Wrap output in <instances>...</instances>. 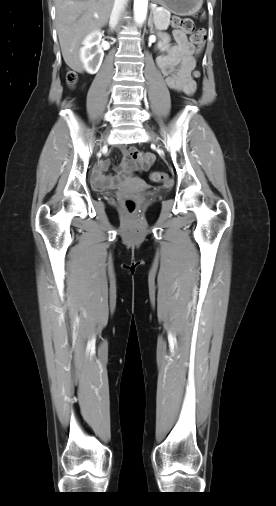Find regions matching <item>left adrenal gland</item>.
<instances>
[{"label":"left adrenal gland","instance_id":"obj_1","mask_svg":"<svg viewBox=\"0 0 276 506\" xmlns=\"http://www.w3.org/2000/svg\"><path fill=\"white\" fill-rule=\"evenodd\" d=\"M154 12V9L152 8L151 12H150V16H149V19H148V27L150 28V33H153V29H154V26H153V14Z\"/></svg>","mask_w":276,"mask_h":506}]
</instances>
